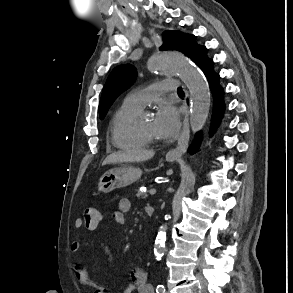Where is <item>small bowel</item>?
<instances>
[{"instance_id": "obj_1", "label": "small bowel", "mask_w": 293, "mask_h": 293, "mask_svg": "<svg viewBox=\"0 0 293 293\" xmlns=\"http://www.w3.org/2000/svg\"><path fill=\"white\" fill-rule=\"evenodd\" d=\"M131 208L129 199L122 198L118 201L117 209L112 213V219L118 224H124L126 221V214ZM101 220V218H100ZM83 226L81 220L75 221V228L79 229ZM86 226V225H85ZM97 227V226H96ZM96 227L91 228L86 226L89 230H94ZM81 243L74 241L71 245L72 252L79 251ZM75 276L78 281L86 286L94 289V293H108L104 288L96 285L88 276L86 271L80 265L74 267ZM122 293H154L152 285L148 282L147 274L142 269H133L130 272V283L125 287Z\"/></svg>"}]
</instances>
